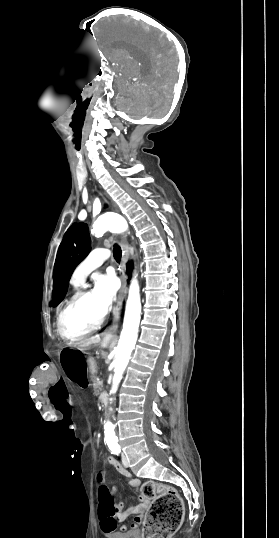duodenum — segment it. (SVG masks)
<instances>
[{
  "label": "duodenum",
  "instance_id": "410a0bca",
  "mask_svg": "<svg viewBox=\"0 0 279 538\" xmlns=\"http://www.w3.org/2000/svg\"><path fill=\"white\" fill-rule=\"evenodd\" d=\"M91 372L93 374H96L98 372V365H93V368L91 369ZM99 401H102L101 402V405L103 407H106V406H111V401H106L104 400V396H99Z\"/></svg>",
  "mask_w": 279,
  "mask_h": 538
}]
</instances>
